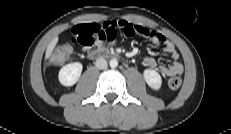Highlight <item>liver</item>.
<instances>
[{
    "instance_id": "liver-1",
    "label": "liver",
    "mask_w": 231,
    "mask_h": 134,
    "mask_svg": "<svg viewBox=\"0 0 231 134\" xmlns=\"http://www.w3.org/2000/svg\"><path fill=\"white\" fill-rule=\"evenodd\" d=\"M57 43H58V37L56 36V37H54L52 39V41L47 46L46 54H45L46 59L50 58L55 46L57 45Z\"/></svg>"
}]
</instances>
